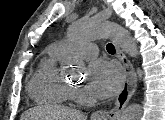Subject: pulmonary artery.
Wrapping results in <instances>:
<instances>
[{
	"label": "pulmonary artery",
	"mask_w": 165,
	"mask_h": 120,
	"mask_svg": "<svg viewBox=\"0 0 165 120\" xmlns=\"http://www.w3.org/2000/svg\"><path fill=\"white\" fill-rule=\"evenodd\" d=\"M54 46L63 54L77 53L81 56L89 57L95 56L98 53L97 46L90 43L72 44L66 40L58 41Z\"/></svg>",
	"instance_id": "1"
}]
</instances>
